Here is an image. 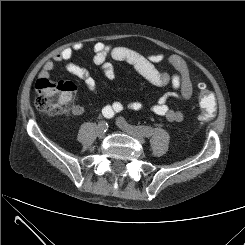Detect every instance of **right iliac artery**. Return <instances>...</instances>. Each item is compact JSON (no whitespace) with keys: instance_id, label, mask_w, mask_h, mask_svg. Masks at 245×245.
Instances as JSON below:
<instances>
[{"instance_id":"obj_1","label":"right iliac artery","mask_w":245,"mask_h":245,"mask_svg":"<svg viewBox=\"0 0 245 245\" xmlns=\"http://www.w3.org/2000/svg\"><path fill=\"white\" fill-rule=\"evenodd\" d=\"M102 114H103V116H104V117H106V118H110L109 113H106V112H105V111H103V110H102ZM99 125H100V126H102V127H103V129H104V130H105V132H106V130H107V128H108L107 123H106L105 121H100Z\"/></svg>"}]
</instances>
